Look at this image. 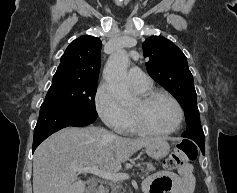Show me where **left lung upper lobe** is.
Segmentation results:
<instances>
[{
	"label": "left lung upper lobe",
	"mask_w": 237,
	"mask_h": 193,
	"mask_svg": "<svg viewBox=\"0 0 237 193\" xmlns=\"http://www.w3.org/2000/svg\"><path fill=\"white\" fill-rule=\"evenodd\" d=\"M143 53L147 58L146 67L150 76L167 89L184 109L187 130L182 137L204 147L205 137L197 108L193 76L185 55L171 41L161 36L147 38L143 43Z\"/></svg>",
	"instance_id": "5c2ea615"
}]
</instances>
